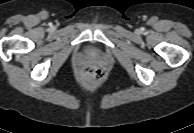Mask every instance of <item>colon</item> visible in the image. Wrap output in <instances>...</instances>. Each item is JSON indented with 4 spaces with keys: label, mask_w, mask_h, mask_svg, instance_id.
I'll return each instance as SVG.
<instances>
[{
    "label": "colon",
    "mask_w": 194,
    "mask_h": 133,
    "mask_svg": "<svg viewBox=\"0 0 194 133\" xmlns=\"http://www.w3.org/2000/svg\"><path fill=\"white\" fill-rule=\"evenodd\" d=\"M82 78L89 84L98 83L103 77V71L97 66H87L81 72Z\"/></svg>",
    "instance_id": "1"
}]
</instances>
